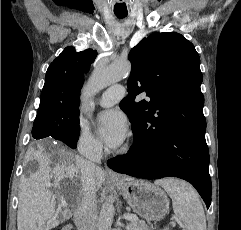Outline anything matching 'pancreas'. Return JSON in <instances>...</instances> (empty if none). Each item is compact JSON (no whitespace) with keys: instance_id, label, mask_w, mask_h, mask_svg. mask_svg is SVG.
I'll use <instances>...</instances> for the list:
<instances>
[{"instance_id":"1","label":"pancreas","mask_w":241,"mask_h":230,"mask_svg":"<svg viewBox=\"0 0 241 230\" xmlns=\"http://www.w3.org/2000/svg\"><path fill=\"white\" fill-rule=\"evenodd\" d=\"M172 226L175 225L174 222L171 223ZM127 230H150V228L148 227V225L141 220H135V221H131L127 227ZM163 230H169V228H164Z\"/></svg>"}]
</instances>
